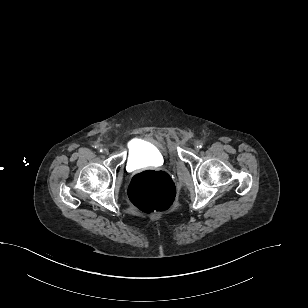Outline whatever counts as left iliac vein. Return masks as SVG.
Here are the masks:
<instances>
[{
    "label": "left iliac vein",
    "instance_id": "left-iliac-vein-1",
    "mask_svg": "<svg viewBox=\"0 0 308 308\" xmlns=\"http://www.w3.org/2000/svg\"><path fill=\"white\" fill-rule=\"evenodd\" d=\"M198 144H199V141L195 142V149H196V150L199 149Z\"/></svg>",
    "mask_w": 308,
    "mask_h": 308
}]
</instances>
